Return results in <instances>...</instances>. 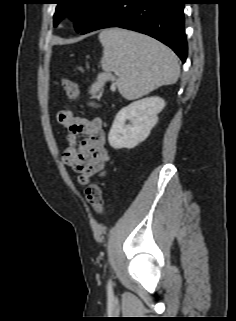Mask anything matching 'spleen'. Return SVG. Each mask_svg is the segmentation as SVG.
Segmentation results:
<instances>
[{
  "label": "spleen",
  "instance_id": "1",
  "mask_svg": "<svg viewBox=\"0 0 236 321\" xmlns=\"http://www.w3.org/2000/svg\"><path fill=\"white\" fill-rule=\"evenodd\" d=\"M103 46L101 66L103 73L91 86L95 95L100 87L118 76L120 94L132 100L148 94L162 85L176 83L180 67L175 53L159 41L140 33L119 28L99 34Z\"/></svg>",
  "mask_w": 236,
  "mask_h": 321
}]
</instances>
